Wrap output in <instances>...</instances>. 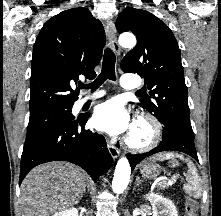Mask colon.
<instances>
[{
	"instance_id": "colon-1",
	"label": "colon",
	"mask_w": 221,
	"mask_h": 216,
	"mask_svg": "<svg viewBox=\"0 0 221 216\" xmlns=\"http://www.w3.org/2000/svg\"><path fill=\"white\" fill-rule=\"evenodd\" d=\"M185 216H197V204L190 198L187 199Z\"/></svg>"
}]
</instances>
